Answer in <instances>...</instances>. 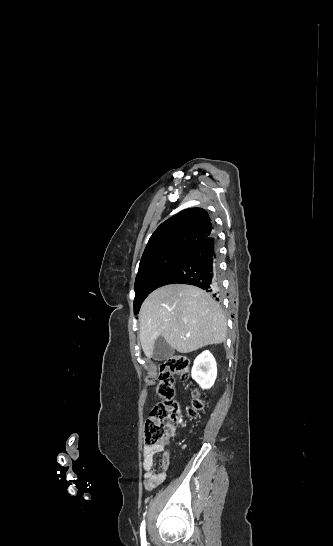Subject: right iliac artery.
Returning a JSON list of instances; mask_svg holds the SVG:
<instances>
[{
    "label": "right iliac artery",
    "mask_w": 333,
    "mask_h": 546,
    "mask_svg": "<svg viewBox=\"0 0 333 546\" xmlns=\"http://www.w3.org/2000/svg\"><path fill=\"white\" fill-rule=\"evenodd\" d=\"M140 537H141V545L142 546H147V541H146V530H145V521H143L141 523V527H140Z\"/></svg>",
    "instance_id": "82829eb1"
}]
</instances>
